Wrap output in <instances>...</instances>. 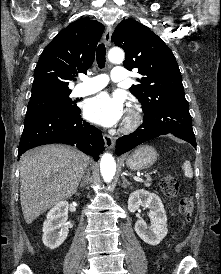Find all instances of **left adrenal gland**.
Segmentation results:
<instances>
[{
	"label": "left adrenal gland",
	"instance_id": "1",
	"mask_svg": "<svg viewBox=\"0 0 221 274\" xmlns=\"http://www.w3.org/2000/svg\"><path fill=\"white\" fill-rule=\"evenodd\" d=\"M122 181H123V183H122L123 188H126L127 186L131 185V183L125 178L124 175H122Z\"/></svg>",
	"mask_w": 221,
	"mask_h": 274
}]
</instances>
